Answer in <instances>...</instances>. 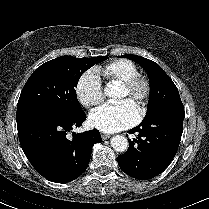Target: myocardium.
I'll return each mask as SVG.
<instances>
[{"label": "myocardium", "mask_w": 209, "mask_h": 209, "mask_svg": "<svg viewBox=\"0 0 209 209\" xmlns=\"http://www.w3.org/2000/svg\"><path fill=\"white\" fill-rule=\"evenodd\" d=\"M119 86L129 94L133 93L139 86L143 88L142 102L138 109V118L141 119L147 112L148 104L152 94L150 80L141 74H136Z\"/></svg>", "instance_id": "obj_1"}]
</instances>
